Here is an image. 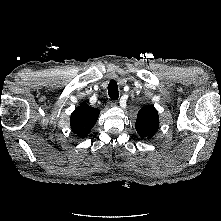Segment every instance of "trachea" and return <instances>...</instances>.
<instances>
[{
    "label": "trachea",
    "mask_w": 221,
    "mask_h": 221,
    "mask_svg": "<svg viewBox=\"0 0 221 221\" xmlns=\"http://www.w3.org/2000/svg\"><path fill=\"white\" fill-rule=\"evenodd\" d=\"M108 95L112 100H117L119 97L118 85L115 80L108 84Z\"/></svg>",
    "instance_id": "3493384b"
}]
</instances>
